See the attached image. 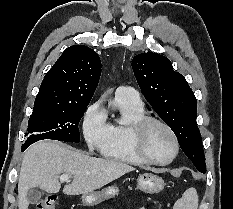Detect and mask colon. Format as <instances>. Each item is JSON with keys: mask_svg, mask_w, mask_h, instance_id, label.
<instances>
[{"mask_svg": "<svg viewBox=\"0 0 233 209\" xmlns=\"http://www.w3.org/2000/svg\"><path fill=\"white\" fill-rule=\"evenodd\" d=\"M57 199L54 196L47 197L37 204V209H55Z\"/></svg>", "mask_w": 233, "mask_h": 209, "instance_id": "5ec220e1", "label": "colon"}]
</instances>
